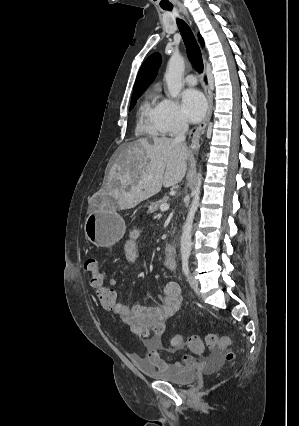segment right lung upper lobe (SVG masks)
I'll use <instances>...</instances> for the list:
<instances>
[{
  "label": "right lung upper lobe",
  "instance_id": "obj_1",
  "mask_svg": "<svg viewBox=\"0 0 299 426\" xmlns=\"http://www.w3.org/2000/svg\"><path fill=\"white\" fill-rule=\"evenodd\" d=\"M199 40L201 44H203V39L200 35ZM160 64L161 56L158 53H154L146 59L137 75L133 88L134 92L144 91L153 82L157 75Z\"/></svg>",
  "mask_w": 299,
  "mask_h": 426
}]
</instances>
